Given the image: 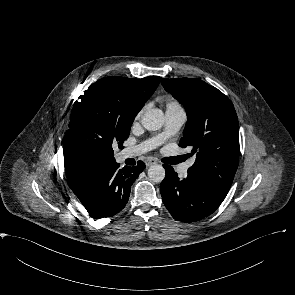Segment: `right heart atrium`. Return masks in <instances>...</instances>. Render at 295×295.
<instances>
[{"label":"right heart atrium","mask_w":295,"mask_h":295,"mask_svg":"<svg viewBox=\"0 0 295 295\" xmlns=\"http://www.w3.org/2000/svg\"><path fill=\"white\" fill-rule=\"evenodd\" d=\"M141 113H142V111H140V112L137 114V117H140Z\"/></svg>","instance_id":"obj_1"}]
</instances>
